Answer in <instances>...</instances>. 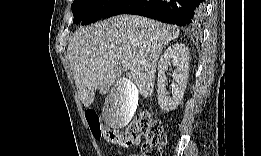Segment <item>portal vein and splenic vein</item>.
<instances>
[{
  "mask_svg": "<svg viewBox=\"0 0 261 156\" xmlns=\"http://www.w3.org/2000/svg\"><path fill=\"white\" fill-rule=\"evenodd\" d=\"M120 64H121L123 67H125V68H129V67H130V64H129L128 62H126V61H122V62H120Z\"/></svg>",
  "mask_w": 261,
  "mask_h": 156,
  "instance_id": "obj_1",
  "label": "portal vein and splenic vein"
}]
</instances>
